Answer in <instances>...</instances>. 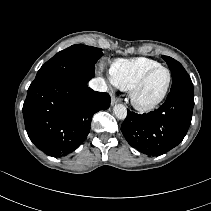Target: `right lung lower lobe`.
<instances>
[{
  "instance_id": "right-lung-lower-lobe-1",
  "label": "right lung lower lobe",
  "mask_w": 211,
  "mask_h": 211,
  "mask_svg": "<svg viewBox=\"0 0 211 211\" xmlns=\"http://www.w3.org/2000/svg\"><path fill=\"white\" fill-rule=\"evenodd\" d=\"M87 83L64 77L31 83L23 105L25 128L45 154L62 157L74 151L89 134L93 115L109 108V94L95 92Z\"/></svg>"
}]
</instances>
